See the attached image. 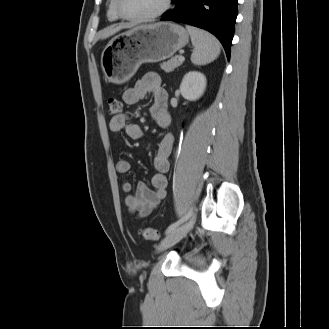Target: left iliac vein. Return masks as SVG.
Listing matches in <instances>:
<instances>
[{
  "instance_id": "4c4485c4",
  "label": "left iliac vein",
  "mask_w": 329,
  "mask_h": 329,
  "mask_svg": "<svg viewBox=\"0 0 329 329\" xmlns=\"http://www.w3.org/2000/svg\"><path fill=\"white\" fill-rule=\"evenodd\" d=\"M195 217H196L195 214H193L187 222H185L181 226H178L174 230L169 232L158 245L157 251L158 252L164 251L172 247L177 242H179L183 237H185L193 227L195 222Z\"/></svg>"
}]
</instances>
